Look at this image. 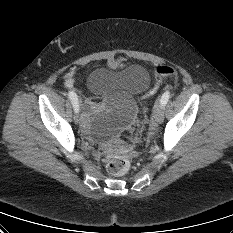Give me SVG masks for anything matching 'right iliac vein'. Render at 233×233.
I'll return each instance as SVG.
<instances>
[{
    "label": "right iliac vein",
    "instance_id": "obj_1",
    "mask_svg": "<svg viewBox=\"0 0 233 233\" xmlns=\"http://www.w3.org/2000/svg\"><path fill=\"white\" fill-rule=\"evenodd\" d=\"M75 113H76V114H75V116H74V120H75L76 123H78V122H79V117H78L79 107L76 109Z\"/></svg>",
    "mask_w": 233,
    "mask_h": 233
}]
</instances>
